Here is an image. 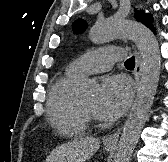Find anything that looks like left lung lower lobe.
<instances>
[{"label":"left lung lower lobe","instance_id":"obj_1","mask_svg":"<svg viewBox=\"0 0 168 162\" xmlns=\"http://www.w3.org/2000/svg\"><path fill=\"white\" fill-rule=\"evenodd\" d=\"M149 28H150L154 33H156L155 28H154V26H153L152 24L149 26Z\"/></svg>","mask_w":168,"mask_h":162}]
</instances>
